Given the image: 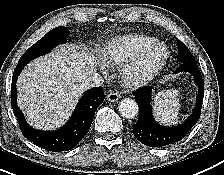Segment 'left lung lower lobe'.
I'll use <instances>...</instances> for the list:
<instances>
[{
  "label": "left lung lower lobe",
  "mask_w": 224,
  "mask_h": 175,
  "mask_svg": "<svg viewBox=\"0 0 224 175\" xmlns=\"http://www.w3.org/2000/svg\"><path fill=\"white\" fill-rule=\"evenodd\" d=\"M189 72L194 77L199 88L194 112L187 120L177 126L167 127L158 124L152 115L151 93L152 87H142L133 92L139 106V117L133 126L134 136L144 145L150 147H164L183 139L199 120L204 96V82L196 63H181L174 73Z\"/></svg>",
  "instance_id": "left-lung-lower-lobe-1"
}]
</instances>
